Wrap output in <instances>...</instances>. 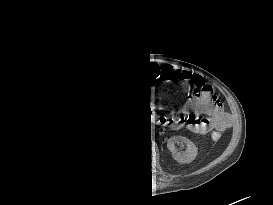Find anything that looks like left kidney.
<instances>
[{
	"label": "left kidney",
	"instance_id": "5707ae66",
	"mask_svg": "<svg viewBox=\"0 0 273 205\" xmlns=\"http://www.w3.org/2000/svg\"><path fill=\"white\" fill-rule=\"evenodd\" d=\"M176 144L185 145L186 149L185 151H181V149L176 147ZM167 147L172 153V157L181 164H186L192 162L197 155L198 148L187 137L184 136H172L169 138L167 142Z\"/></svg>",
	"mask_w": 273,
	"mask_h": 205
}]
</instances>
